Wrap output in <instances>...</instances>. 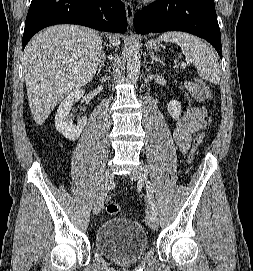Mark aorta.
<instances>
[{"mask_svg": "<svg viewBox=\"0 0 253 271\" xmlns=\"http://www.w3.org/2000/svg\"><path fill=\"white\" fill-rule=\"evenodd\" d=\"M141 56L136 43L131 44L127 50V72L132 80H137L140 74Z\"/></svg>", "mask_w": 253, "mask_h": 271, "instance_id": "aorta-1", "label": "aorta"}]
</instances>
